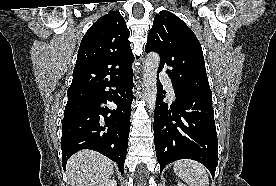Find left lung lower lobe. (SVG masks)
<instances>
[{
  "label": "left lung lower lobe",
  "mask_w": 276,
  "mask_h": 186,
  "mask_svg": "<svg viewBox=\"0 0 276 186\" xmlns=\"http://www.w3.org/2000/svg\"><path fill=\"white\" fill-rule=\"evenodd\" d=\"M157 87L153 128L160 172L176 160L193 159L204 164L214 177L218 140L212 95L174 88L177 99L168 105L163 102L166 92L158 77Z\"/></svg>",
  "instance_id": "obj_1"
}]
</instances>
